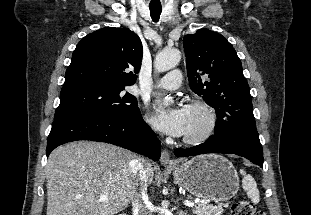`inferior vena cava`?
<instances>
[{
    "label": "inferior vena cava",
    "mask_w": 311,
    "mask_h": 215,
    "mask_svg": "<svg viewBox=\"0 0 311 215\" xmlns=\"http://www.w3.org/2000/svg\"><path fill=\"white\" fill-rule=\"evenodd\" d=\"M130 169L133 176L140 177L141 183V194L142 197H146V179H145V168H144V161L141 158L135 157L130 162ZM133 206V213L134 215H151L150 210L146 207L144 203L140 202L139 196H135V199L132 202Z\"/></svg>",
    "instance_id": "1"
}]
</instances>
